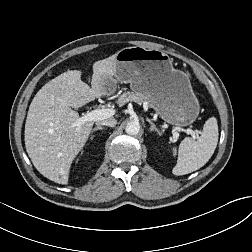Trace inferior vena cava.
Returning a JSON list of instances; mask_svg holds the SVG:
<instances>
[{
	"instance_id": "obj_1",
	"label": "inferior vena cava",
	"mask_w": 252,
	"mask_h": 252,
	"mask_svg": "<svg viewBox=\"0 0 252 252\" xmlns=\"http://www.w3.org/2000/svg\"><path fill=\"white\" fill-rule=\"evenodd\" d=\"M116 124H117V121L114 118L102 120L97 123V125H105L109 127H114Z\"/></svg>"
}]
</instances>
